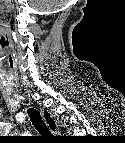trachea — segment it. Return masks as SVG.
I'll return each instance as SVG.
<instances>
[{"label":"trachea","mask_w":125,"mask_h":143,"mask_svg":"<svg viewBox=\"0 0 125 143\" xmlns=\"http://www.w3.org/2000/svg\"><path fill=\"white\" fill-rule=\"evenodd\" d=\"M28 115L35 129L45 137H53L50 130L46 126L44 120L42 119L40 113L36 109H28Z\"/></svg>","instance_id":"1"}]
</instances>
